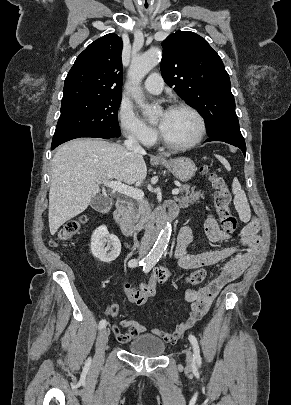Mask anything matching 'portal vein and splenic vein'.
I'll list each match as a JSON object with an SVG mask.
<instances>
[{
  "label": "portal vein and splenic vein",
  "instance_id": "obj_1",
  "mask_svg": "<svg viewBox=\"0 0 291 405\" xmlns=\"http://www.w3.org/2000/svg\"><path fill=\"white\" fill-rule=\"evenodd\" d=\"M104 185L136 200H142L144 198V192L142 190L122 184L120 181H105ZM179 191L178 188H175L172 190V194L177 195Z\"/></svg>",
  "mask_w": 291,
  "mask_h": 405
}]
</instances>
